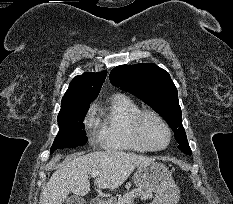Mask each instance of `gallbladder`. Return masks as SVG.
Returning <instances> with one entry per match:
<instances>
[{
    "mask_svg": "<svg viewBox=\"0 0 233 204\" xmlns=\"http://www.w3.org/2000/svg\"><path fill=\"white\" fill-rule=\"evenodd\" d=\"M65 204H86V200L78 196H70L66 199Z\"/></svg>",
    "mask_w": 233,
    "mask_h": 204,
    "instance_id": "gallbladder-1",
    "label": "gallbladder"
}]
</instances>
